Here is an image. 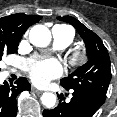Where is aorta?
Wrapping results in <instances>:
<instances>
[{"instance_id": "1", "label": "aorta", "mask_w": 117, "mask_h": 117, "mask_svg": "<svg viewBox=\"0 0 117 117\" xmlns=\"http://www.w3.org/2000/svg\"><path fill=\"white\" fill-rule=\"evenodd\" d=\"M29 40L34 46L47 47L51 42V32L44 25H35L29 32ZM56 100V95L51 92H45L41 96V102L47 108H53Z\"/></svg>"}]
</instances>
